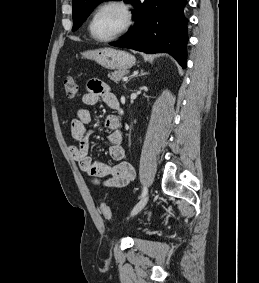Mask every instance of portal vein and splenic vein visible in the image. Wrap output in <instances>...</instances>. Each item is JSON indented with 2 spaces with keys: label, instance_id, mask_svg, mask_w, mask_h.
Wrapping results in <instances>:
<instances>
[{
  "label": "portal vein and splenic vein",
  "instance_id": "obj_1",
  "mask_svg": "<svg viewBox=\"0 0 259 283\" xmlns=\"http://www.w3.org/2000/svg\"><path fill=\"white\" fill-rule=\"evenodd\" d=\"M128 80V77H123V81H127Z\"/></svg>",
  "mask_w": 259,
  "mask_h": 283
}]
</instances>
